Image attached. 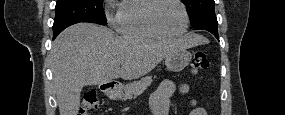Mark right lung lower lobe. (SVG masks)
I'll return each mask as SVG.
<instances>
[{
  "instance_id": "right-lung-lower-lobe-1",
  "label": "right lung lower lobe",
  "mask_w": 285,
  "mask_h": 115,
  "mask_svg": "<svg viewBox=\"0 0 285 115\" xmlns=\"http://www.w3.org/2000/svg\"><path fill=\"white\" fill-rule=\"evenodd\" d=\"M64 29H60V30H57V31H53V39H55L57 37V35L63 31Z\"/></svg>"
}]
</instances>
